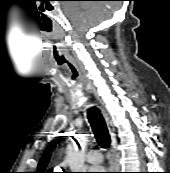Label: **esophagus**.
Here are the masks:
<instances>
[{
    "mask_svg": "<svg viewBox=\"0 0 170 173\" xmlns=\"http://www.w3.org/2000/svg\"><path fill=\"white\" fill-rule=\"evenodd\" d=\"M101 110H102L103 116L105 118L108 130H109L111 136H113L114 128H113L112 122H111L108 114L105 112V110L103 108H101ZM111 154H112L111 164L114 165V163H115V145L113 143L111 146Z\"/></svg>",
    "mask_w": 170,
    "mask_h": 173,
    "instance_id": "1",
    "label": "esophagus"
}]
</instances>
